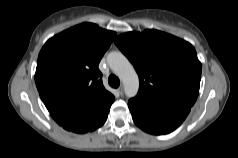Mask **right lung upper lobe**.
Instances as JSON below:
<instances>
[{
    "mask_svg": "<svg viewBox=\"0 0 238 158\" xmlns=\"http://www.w3.org/2000/svg\"><path fill=\"white\" fill-rule=\"evenodd\" d=\"M116 33L82 23L50 38L38 55L35 81L48 111L114 102L101 80L99 62Z\"/></svg>",
    "mask_w": 238,
    "mask_h": 158,
    "instance_id": "obj_1",
    "label": "right lung upper lobe"
}]
</instances>
